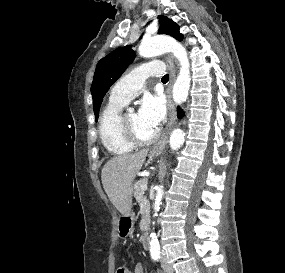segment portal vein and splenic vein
<instances>
[{
  "instance_id": "portal-vein-and-splenic-vein-1",
  "label": "portal vein and splenic vein",
  "mask_w": 285,
  "mask_h": 273,
  "mask_svg": "<svg viewBox=\"0 0 285 273\" xmlns=\"http://www.w3.org/2000/svg\"><path fill=\"white\" fill-rule=\"evenodd\" d=\"M141 189H142L143 191L147 190V183H144V184L141 186Z\"/></svg>"
}]
</instances>
